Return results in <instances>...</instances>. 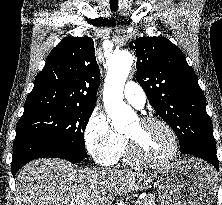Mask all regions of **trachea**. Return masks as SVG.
<instances>
[{"instance_id": "1", "label": "trachea", "mask_w": 222, "mask_h": 205, "mask_svg": "<svg viewBox=\"0 0 222 205\" xmlns=\"http://www.w3.org/2000/svg\"><path fill=\"white\" fill-rule=\"evenodd\" d=\"M110 8H111V10L114 11V12L118 10V6H111Z\"/></svg>"}]
</instances>
